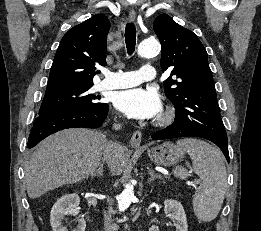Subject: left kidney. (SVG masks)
<instances>
[{
  "label": "left kidney",
  "mask_w": 261,
  "mask_h": 231,
  "mask_svg": "<svg viewBox=\"0 0 261 231\" xmlns=\"http://www.w3.org/2000/svg\"><path fill=\"white\" fill-rule=\"evenodd\" d=\"M164 212L173 220L176 231H188L184 208L180 202L173 199L164 201ZM149 231H159L157 226H151Z\"/></svg>",
  "instance_id": "obj_1"
}]
</instances>
